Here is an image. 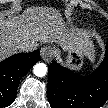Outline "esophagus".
I'll use <instances>...</instances> for the list:
<instances>
[{"label":"esophagus","mask_w":108,"mask_h":108,"mask_svg":"<svg viewBox=\"0 0 108 108\" xmlns=\"http://www.w3.org/2000/svg\"><path fill=\"white\" fill-rule=\"evenodd\" d=\"M56 54V50L52 46H45L41 49V57L45 62H49Z\"/></svg>","instance_id":"obj_1"}]
</instances>
